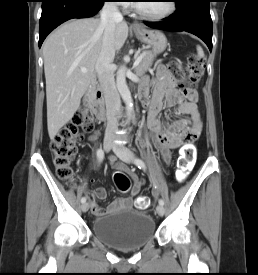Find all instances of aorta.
Here are the masks:
<instances>
[{"mask_svg": "<svg viewBox=\"0 0 258 275\" xmlns=\"http://www.w3.org/2000/svg\"><path fill=\"white\" fill-rule=\"evenodd\" d=\"M116 86L117 89L123 98L125 105H126V110L128 112V115L131 116L133 112V100L131 97V93L129 91V88L126 83V76H125V68L122 67L118 70L117 76H116Z\"/></svg>", "mask_w": 258, "mask_h": 275, "instance_id": "obj_1", "label": "aorta"}]
</instances>
